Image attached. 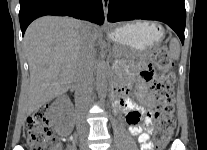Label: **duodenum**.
I'll return each mask as SVG.
<instances>
[{
    "label": "duodenum",
    "mask_w": 207,
    "mask_h": 150,
    "mask_svg": "<svg viewBox=\"0 0 207 150\" xmlns=\"http://www.w3.org/2000/svg\"><path fill=\"white\" fill-rule=\"evenodd\" d=\"M112 91H113V93H114V91H115V85L112 87Z\"/></svg>",
    "instance_id": "410a0bca"
}]
</instances>
